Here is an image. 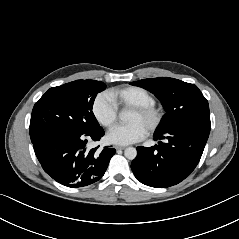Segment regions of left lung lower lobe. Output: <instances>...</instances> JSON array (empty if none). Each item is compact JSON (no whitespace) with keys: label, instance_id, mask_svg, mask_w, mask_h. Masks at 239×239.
<instances>
[{"label":"left lung lower lobe","instance_id":"0a47b994","mask_svg":"<svg viewBox=\"0 0 239 239\" xmlns=\"http://www.w3.org/2000/svg\"><path fill=\"white\" fill-rule=\"evenodd\" d=\"M210 133V127L198 124L179 125L155 131L158 145L137 147L131 168L143 184L166 188L180 183L197 166ZM167 139L166 143L161 140Z\"/></svg>","mask_w":239,"mask_h":239}]
</instances>
